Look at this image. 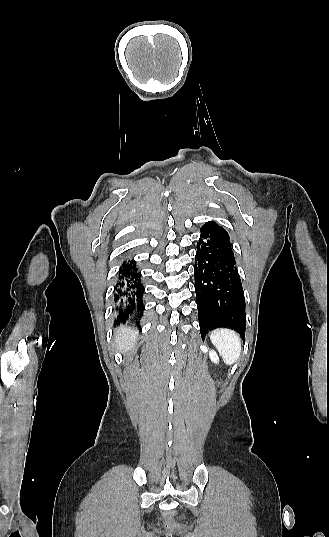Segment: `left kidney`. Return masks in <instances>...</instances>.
I'll list each match as a JSON object with an SVG mask.
<instances>
[{
    "label": "left kidney",
    "instance_id": "1",
    "mask_svg": "<svg viewBox=\"0 0 329 537\" xmlns=\"http://www.w3.org/2000/svg\"><path fill=\"white\" fill-rule=\"evenodd\" d=\"M209 355H210V359H211V361H213L214 363H218V362H219V357H218V355L216 354L215 351L211 350V351L209 352Z\"/></svg>",
    "mask_w": 329,
    "mask_h": 537
}]
</instances>
